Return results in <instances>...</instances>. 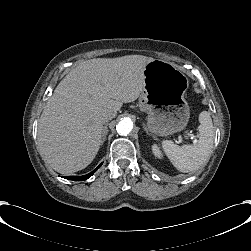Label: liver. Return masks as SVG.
<instances>
[{
	"mask_svg": "<svg viewBox=\"0 0 251 251\" xmlns=\"http://www.w3.org/2000/svg\"><path fill=\"white\" fill-rule=\"evenodd\" d=\"M152 57L131 54L79 63L60 81L38 124L40 153L62 174L84 169L98 152L103 117L135 101Z\"/></svg>",
	"mask_w": 251,
	"mask_h": 251,
	"instance_id": "obj_1",
	"label": "liver"
}]
</instances>
